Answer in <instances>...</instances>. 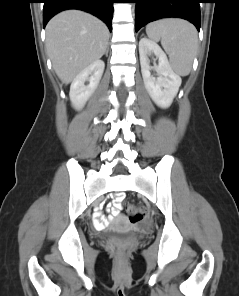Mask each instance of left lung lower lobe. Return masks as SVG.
<instances>
[{
	"label": "left lung lower lobe",
	"mask_w": 239,
	"mask_h": 296,
	"mask_svg": "<svg viewBox=\"0 0 239 296\" xmlns=\"http://www.w3.org/2000/svg\"><path fill=\"white\" fill-rule=\"evenodd\" d=\"M136 3V32L145 24L161 18L178 17L193 23L200 30L201 0H132Z\"/></svg>",
	"instance_id": "left-lung-lower-lobe-1"
}]
</instances>
